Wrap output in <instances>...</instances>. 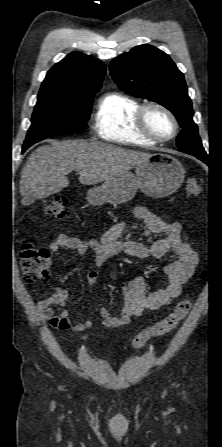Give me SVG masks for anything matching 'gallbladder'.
<instances>
[{
	"label": "gallbladder",
	"mask_w": 222,
	"mask_h": 447,
	"mask_svg": "<svg viewBox=\"0 0 222 447\" xmlns=\"http://www.w3.org/2000/svg\"><path fill=\"white\" fill-rule=\"evenodd\" d=\"M34 201H35V199L30 198V199L26 202V205H29V204L33 203Z\"/></svg>",
	"instance_id": "gallbladder-1"
}]
</instances>
